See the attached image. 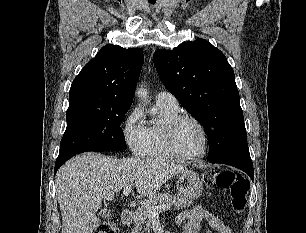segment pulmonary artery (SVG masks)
Wrapping results in <instances>:
<instances>
[{
    "instance_id": "pulmonary-artery-1",
    "label": "pulmonary artery",
    "mask_w": 306,
    "mask_h": 233,
    "mask_svg": "<svg viewBox=\"0 0 306 233\" xmlns=\"http://www.w3.org/2000/svg\"><path fill=\"white\" fill-rule=\"evenodd\" d=\"M156 103L163 104L173 108L178 107V101L176 97L168 91H160L156 95Z\"/></svg>"
}]
</instances>
